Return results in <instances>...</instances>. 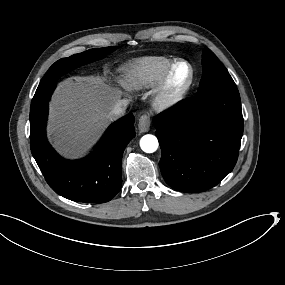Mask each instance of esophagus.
Masks as SVG:
<instances>
[{
  "instance_id": "esophagus-1",
  "label": "esophagus",
  "mask_w": 285,
  "mask_h": 285,
  "mask_svg": "<svg viewBox=\"0 0 285 285\" xmlns=\"http://www.w3.org/2000/svg\"><path fill=\"white\" fill-rule=\"evenodd\" d=\"M151 120L148 115H142L138 121V129L139 132L144 133L147 132L150 128Z\"/></svg>"
}]
</instances>
